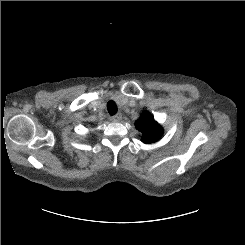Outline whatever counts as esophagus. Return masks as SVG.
Wrapping results in <instances>:
<instances>
[{
  "label": "esophagus",
  "mask_w": 245,
  "mask_h": 245,
  "mask_svg": "<svg viewBox=\"0 0 245 245\" xmlns=\"http://www.w3.org/2000/svg\"><path fill=\"white\" fill-rule=\"evenodd\" d=\"M110 119L112 121H114V122H118V121H120L122 119V114L121 113H117L116 115L112 116Z\"/></svg>",
  "instance_id": "esophagus-1"
}]
</instances>
